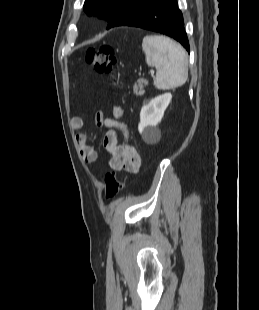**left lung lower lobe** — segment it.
<instances>
[{
    "label": "left lung lower lobe",
    "mask_w": 259,
    "mask_h": 310,
    "mask_svg": "<svg viewBox=\"0 0 259 310\" xmlns=\"http://www.w3.org/2000/svg\"><path fill=\"white\" fill-rule=\"evenodd\" d=\"M115 26H134L159 32L190 50L177 0H149L129 10Z\"/></svg>",
    "instance_id": "0a47b994"
}]
</instances>
